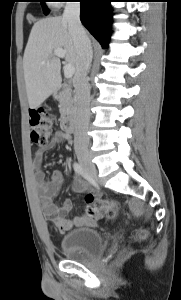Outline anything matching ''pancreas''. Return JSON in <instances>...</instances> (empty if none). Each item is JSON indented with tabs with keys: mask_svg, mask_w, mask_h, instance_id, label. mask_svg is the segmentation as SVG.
I'll list each match as a JSON object with an SVG mask.
<instances>
[{
	"mask_svg": "<svg viewBox=\"0 0 181 300\" xmlns=\"http://www.w3.org/2000/svg\"><path fill=\"white\" fill-rule=\"evenodd\" d=\"M59 111L62 117L75 112L76 99L70 88L63 89L59 95Z\"/></svg>",
	"mask_w": 181,
	"mask_h": 300,
	"instance_id": "cf45deb5",
	"label": "pancreas"
}]
</instances>
